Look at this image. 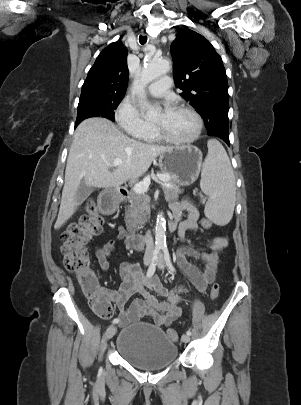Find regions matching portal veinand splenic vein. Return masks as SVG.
<instances>
[{"instance_id": "1", "label": "portal vein and splenic vein", "mask_w": 301, "mask_h": 405, "mask_svg": "<svg viewBox=\"0 0 301 405\" xmlns=\"http://www.w3.org/2000/svg\"><path fill=\"white\" fill-rule=\"evenodd\" d=\"M122 164V160L120 158H115L113 163L110 165V167L114 166H119ZM157 178L162 181V185H164L165 182L170 180V177L168 175H163V174H157ZM151 183L150 177H146L143 181L135 184L133 187V190L138 193V194H143L148 191L149 185Z\"/></svg>"}]
</instances>
